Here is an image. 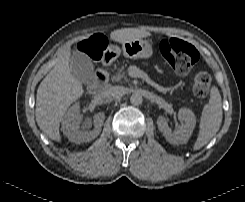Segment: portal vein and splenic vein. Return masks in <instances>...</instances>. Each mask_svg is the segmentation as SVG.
<instances>
[{
	"instance_id": "1",
	"label": "portal vein and splenic vein",
	"mask_w": 245,
	"mask_h": 202,
	"mask_svg": "<svg viewBox=\"0 0 245 202\" xmlns=\"http://www.w3.org/2000/svg\"><path fill=\"white\" fill-rule=\"evenodd\" d=\"M131 76L132 77H139V78L141 77V78H143V77H146V74L143 71H141L139 69H136L135 71H133L131 73Z\"/></svg>"
}]
</instances>
